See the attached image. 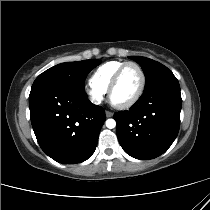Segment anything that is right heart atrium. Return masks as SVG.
<instances>
[{
    "label": "right heart atrium",
    "mask_w": 210,
    "mask_h": 210,
    "mask_svg": "<svg viewBox=\"0 0 210 210\" xmlns=\"http://www.w3.org/2000/svg\"><path fill=\"white\" fill-rule=\"evenodd\" d=\"M84 91L88 95L90 100L94 103H100L103 100L105 94L104 91L95 87L91 83L85 85Z\"/></svg>",
    "instance_id": "right-heart-atrium-1"
}]
</instances>
